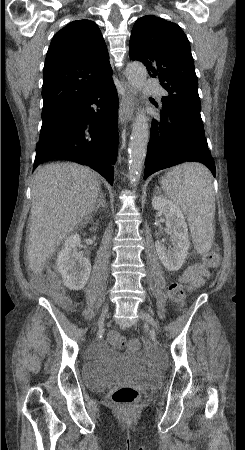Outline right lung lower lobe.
I'll return each instance as SVG.
<instances>
[{
  "instance_id": "obj_1",
  "label": "right lung lower lobe",
  "mask_w": 245,
  "mask_h": 450,
  "mask_svg": "<svg viewBox=\"0 0 245 450\" xmlns=\"http://www.w3.org/2000/svg\"><path fill=\"white\" fill-rule=\"evenodd\" d=\"M118 96L109 77L43 120L33 170L45 160L85 164L113 185Z\"/></svg>"
}]
</instances>
